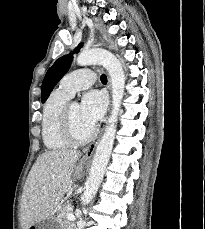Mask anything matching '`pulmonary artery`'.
Masks as SVG:
<instances>
[{
	"label": "pulmonary artery",
	"instance_id": "e3ab8cb5",
	"mask_svg": "<svg viewBox=\"0 0 205 229\" xmlns=\"http://www.w3.org/2000/svg\"><path fill=\"white\" fill-rule=\"evenodd\" d=\"M95 81L94 72L88 68L78 69L67 74L59 84V90L72 97L76 92L88 88Z\"/></svg>",
	"mask_w": 205,
	"mask_h": 229
}]
</instances>
